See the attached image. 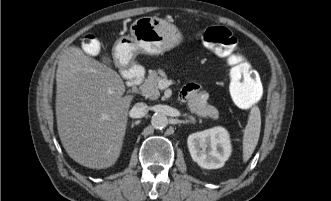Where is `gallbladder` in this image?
Masks as SVG:
<instances>
[{
	"label": "gallbladder",
	"instance_id": "obj_1",
	"mask_svg": "<svg viewBox=\"0 0 331 201\" xmlns=\"http://www.w3.org/2000/svg\"><path fill=\"white\" fill-rule=\"evenodd\" d=\"M102 61L104 63L108 64V65L111 64V60H110V58L107 55H105V56L102 57Z\"/></svg>",
	"mask_w": 331,
	"mask_h": 201
}]
</instances>
